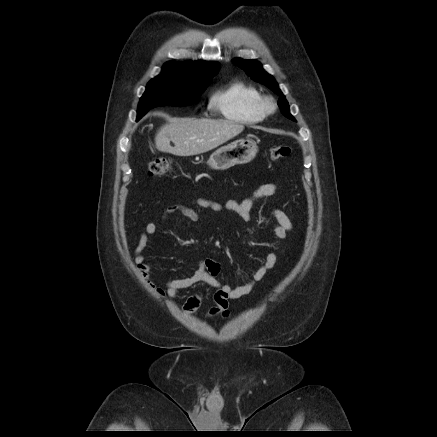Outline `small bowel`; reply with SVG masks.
Masks as SVG:
<instances>
[{
  "label": "small bowel",
  "instance_id": "c3829d8e",
  "mask_svg": "<svg viewBox=\"0 0 437 437\" xmlns=\"http://www.w3.org/2000/svg\"><path fill=\"white\" fill-rule=\"evenodd\" d=\"M278 190V186L274 183H267L258 187L249 197L242 201L228 200L224 205L212 200L197 198L192 203L202 208L210 209L212 211H221L227 209L237 213L244 221L251 220V212L254 203L263 198L273 196ZM180 213L191 221L198 219V213L186 204H174L166 207L162 214V220H166L169 216ZM273 217L275 224L273 225L274 235L279 239H285L288 232L292 229V222L287 214L280 210H273ZM158 230L155 222L146 224L144 231L141 233L138 244L135 249V262L143 272L144 276H148L150 269L149 264L145 262L144 250L147 246L148 240L154 236ZM278 255L275 252L267 254L258 269L254 272L250 280L235 288L219 281L220 265L217 261L212 259H203L200 261L197 270L193 275L173 279L165 284V289L156 288V292L161 296H167L169 299H174L178 292L192 287L198 282H204L214 287L216 292L213 296L214 306H212L207 313L208 317L222 316L227 317L229 314V302L232 299L240 298L252 291L256 283L261 281L265 275L277 263ZM154 287V286H153ZM203 296L200 293H195L187 297L183 309L188 314H194L198 311L202 304Z\"/></svg>",
  "mask_w": 437,
  "mask_h": 437
}]
</instances>
